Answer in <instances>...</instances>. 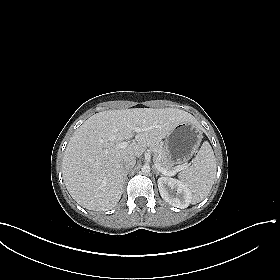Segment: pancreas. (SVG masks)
Instances as JSON below:
<instances>
[{"label":"pancreas","mask_w":280,"mask_h":280,"mask_svg":"<svg viewBox=\"0 0 280 280\" xmlns=\"http://www.w3.org/2000/svg\"><path fill=\"white\" fill-rule=\"evenodd\" d=\"M151 149L154 151L153 156L155 162L158 163L160 167H162L163 169L167 171H173L176 170L177 167H179V166H174L175 163L171 160L167 150L163 145L157 144ZM181 166H185V165H181Z\"/></svg>","instance_id":"obj_1"}]
</instances>
